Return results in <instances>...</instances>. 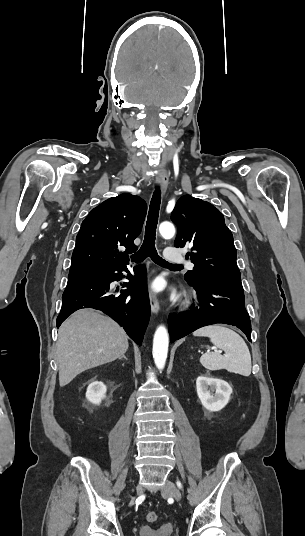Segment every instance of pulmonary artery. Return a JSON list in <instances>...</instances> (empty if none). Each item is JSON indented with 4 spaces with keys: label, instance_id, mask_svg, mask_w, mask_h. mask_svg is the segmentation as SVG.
Here are the masks:
<instances>
[{
    "label": "pulmonary artery",
    "instance_id": "e3ab8cb5",
    "mask_svg": "<svg viewBox=\"0 0 305 536\" xmlns=\"http://www.w3.org/2000/svg\"><path fill=\"white\" fill-rule=\"evenodd\" d=\"M178 250L175 245L170 244L167 246L166 251L163 252L162 257L164 260L168 261L171 264H174L178 262V260H182V257H178L177 255ZM187 265L192 269L194 267V264L192 262H187Z\"/></svg>",
    "mask_w": 305,
    "mask_h": 536
}]
</instances>
